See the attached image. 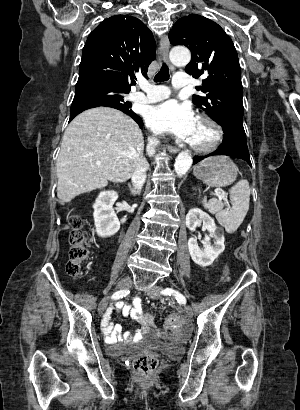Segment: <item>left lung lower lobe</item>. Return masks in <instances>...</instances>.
<instances>
[{
	"label": "left lung lower lobe",
	"instance_id": "1",
	"mask_svg": "<svg viewBox=\"0 0 300 410\" xmlns=\"http://www.w3.org/2000/svg\"><path fill=\"white\" fill-rule=\"evenodd\" d=\"M219 124L222 126L224 131V139L221 146L216 151L208 155L194 157L193 164H196L209 156L227 155L234 158L243 159L251 166L243 123L226 119Z\"/></svg>",
	"mask_w": 300,
	"mask_h": 410
}]
</instances>
